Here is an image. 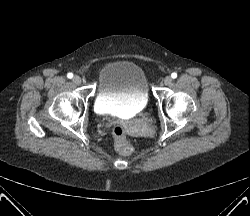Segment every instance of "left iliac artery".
<instances>
[{
  "label": "left iliac artery",
  "instance_id": "obj_1",
  "mask_svg": "<svg viewBox=\"0 0 250 216\" xmlns=\"http://www.w3.org/2000/svg\"><path fill=\"white\" fill-rule=\"evenodd\" d=\"M171 77H172L173 79H175V78L177 77V73H175V72L172 73V74H171Z\"/></svg>",
  "mask_w": 250,
  "mask_h": 216
}]
</instances>
